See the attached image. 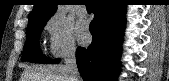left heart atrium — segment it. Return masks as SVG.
Instances as JSON below:
<instances>
[{"label":"left heart atrium","mask_w":169,"mask_h":81,"mask_svg":"<svg viewBox=\"0 0 169 81\" xmlns=\"http://www.w3.org/2000/svg\"><path fill=\"white\" fill-rule=\"evenodd\" d=\"M76 35L80 42L84 43L89 40V31L86 22H80L76 26Z\"/></svg>","instance_id":"1"}]
</instances>
